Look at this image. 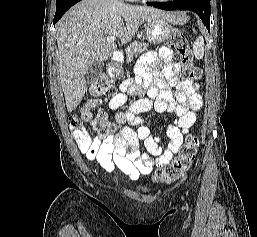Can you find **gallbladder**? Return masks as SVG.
I'll return each mask as SVG.
<instances>
[{
	"mask_svg": "<svg viewBox=\"0 0 257 237\" xmlns=\"http://www.w3.org/2000/svg\"><path fill=\"white\" fill-rule=\"evenodd\" d=\"M103 65L101 62L95 61L86 71L85 80L86 83H93L98 76L102 73Z\"/></svg>",
	"mask_w": 257,
	"mask_h": 237,
	"instance_id": "obj_1",
	"label": "gallbladder"
}]
</instances>
